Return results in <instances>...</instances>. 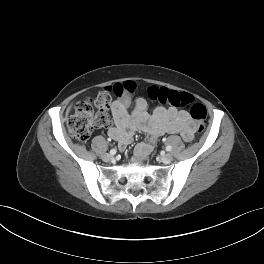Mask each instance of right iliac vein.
Masks as SVG:
<instances>
[{
	"label": "right iliac vein",
	"instance_id": "1",
	"mask_svg": "<svg viewBox=\"0 0 264 264\" xmlns=\"http://www.w3.org/2000/svg\"><path fill=\"white\" fill-rule=\"evenodd\" d=\"M102 159L104 161H111L113 160V156L111 154L105 153L104 155H102Z\"/></svg>",
	"mask_w": 264,
	"mask_h": 264
}]
</instances>
